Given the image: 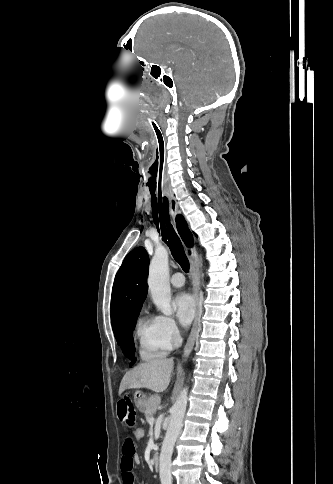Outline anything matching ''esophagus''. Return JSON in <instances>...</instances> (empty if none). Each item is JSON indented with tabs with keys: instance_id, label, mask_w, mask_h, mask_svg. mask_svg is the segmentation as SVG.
Returning <instances> with one entry per match:
<instances>
[{
	"instance_id": "obj_1",
	"label": "esophagus",
	"mask_w": 333,
	"mask_h": 484,
	"mask_svg": "<svg viewBox=\"0 0 333 484\" xmlns=\"http://www.w3.org/2000/svg\"><path fill=\"white\" fill-rule=\"evenodd\" d=\"M169 201V209L170 213L173 217H175L178 213H180L179 205L174 197L173 194L167 196ZM186 254L190 260V275L192 279L193 285V299L195 302V319L191 328L190 335L188 337L187 343L184 347V352L182 355V361H186L189 357L196 338L198 334V322L200 317V308H199V289H200V279H199V264H198V255L195 247H190L185 245Z\"/></svg>"
}]
</instances>
